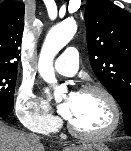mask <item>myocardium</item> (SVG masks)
Masks as SVG:
<instances>
[{"label":"myocardium","mask_w":131,"mask_h":151,"mask_svg":"<svg viewBox=\"0 0 131 151\" xmlns=\"http://www.w3.org/2000/svg\"><path fill=\"white\" fill-rule=\"evenodd\" d=\"M80 94H88V93H98L102 95L108 102L111 110H112V122L110 126L99 133H88L83 132L75 128L70 121L67 122V128L68 131L75 137L82 139V140H88V141H99L104 140L110 136H112L115 131L118 129L121 121V110L120 106L118 104V101L116 100L115 96L105 87L100 85H87L82 87L79 90Z\"/></svg>","instance_id":"f54148a6"}]
</instances>
